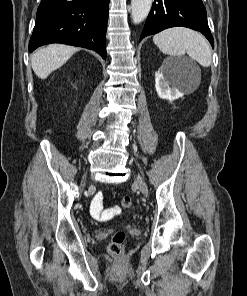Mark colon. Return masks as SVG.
Wrapping results in <instances>:
<instances>
[{"label":"colon","instance_id":"1","mask_svg":"<svg viewBox=\"0 0 247 296\" xmlns=\"http://www.w3.org/2000/svg\"><path fill=\"white\" fill-rule=\"evenodd\" d=\"M132 204V199L130 196H124L120 203L119 206L112 208L111 210L108 211V213H106L105 215H100V217H104V218H108L111 217L113 215H116L119 213L120 209L122 208H128L130 207ZM96 212H98V210H96ZM126 235L124 231H118L116 232L113 237L112 240L109 244L108 250L109 253L112 255H120L122 250H123V244L125 241Z\"/></svg>","mask_w":247,"mask_h":296}]
</instances>
